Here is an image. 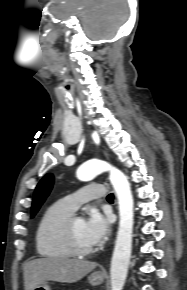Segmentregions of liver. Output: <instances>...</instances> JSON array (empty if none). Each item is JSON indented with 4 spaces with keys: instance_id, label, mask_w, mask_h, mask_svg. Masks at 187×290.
Segmentation results:
<instances>
[{
    "instance_id": "6515ba94",
    "label": "liver",
    "mask_w": 187,
    "mask_h": 290,
    "mask_svg": "<svg viewBox=\"0 0 187 290\" xmlns=\"http://www.w3.org/2000/svg\"><path fill=\"white\" fill-rule=\"evenodd\" d=\"M97 263L69 258H39L23 266L25 290H33L45 281L74 283L91 272Z\"/></svg>"
}]
</instances>
